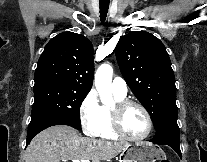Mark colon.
<instances>
[{
	"label": "colon",
	"instance_id": "1",
	"mask_svg": "<svg viewBox=\"0 0 207 162\" xmlns=\"http://www.w3.org/2000/svg\"><path fill=\"white\" fill-rule=\"evenodd\" d=\"M160 162H170V161H168V160H161Z\"/></svg>",
	"mask_w": 207,
	"mask_h": 162
}]
</instances>
